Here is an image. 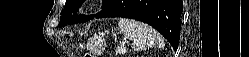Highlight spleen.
<instances>
[{"label": "spleen", "instance_id": "obj_1", "mask_svg": "<svg viewBox=\"0 0 249 57\" xmlns=\"http://www.w3.org/2000/svg\"><path fill=\"white\" fill-rule=\"evenodd\" d=\"M124 37L132 42L136 51L164 45L162 36L149 25L133 19L123 18L118 23Z\"/></svg>", "mask_w": 249, "mask_h": 57}]
</instances>
